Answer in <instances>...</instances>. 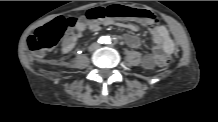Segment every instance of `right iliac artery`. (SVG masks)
Segmentation results:
<instances>
[{"label":"right iliac artery","mask_w":218,"mask_h":122,"mask_svg":"<svg viewBox=\"0 0 218 122\" xmlns=\"http://www.w3.org/2000/svg\"><path fill=\"white\" fill-rule=\"evenodd\" d=\"M98 42H99V43H104V39H103V38H100V39L98 40Z\"/></svg>","instance_id":"82829eb1"}]
</instances>
